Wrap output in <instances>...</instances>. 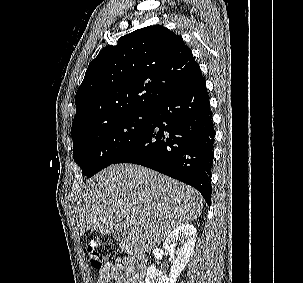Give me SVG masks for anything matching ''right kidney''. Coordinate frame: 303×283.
I'll return each mask as SVG.
<instances>
[{"instance_id":"1","label":"right kidney","mask_w":303,"mask_h":283,"mask_svg":"<svg viewBox=\"0 0 303 283\" xmlns=\"http://www.w3.org/2000/svg\"><path fill=\"white\" fill-rule=\"evenodd\" d=\"M196 232V228L191 224H182L175 228L163 243L172 263L169 277L161 275L153 264L147 269L145 283H176L193 253ZM177 242L180 247L175 248Z\"/></svg>"}]
</instances>
